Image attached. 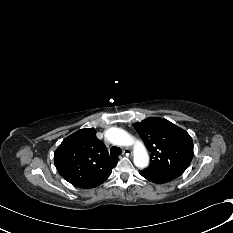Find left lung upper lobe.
<instances>
[{"mask_svg":"<svg viewBox=\"0 0 233 233\" xmlns=\"http://www.w3.org/2000/svg\"><path fill=\"white\" fill-rule=\"evenodd\" d=\"M134 128L151 153L150 164L143 172L166 183L179 177L190 165L193 142L185 130L158 117L134 123Z\"/></svg>","mask_w":233,"mask_h":233,"instance_id":"left-lung-upper-lobe-1","label":"left lung upper lobe"}]
</instances>
